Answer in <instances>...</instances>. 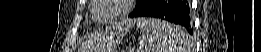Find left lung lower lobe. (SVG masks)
<instances>
[{
	"mask_svg": "<svg viewBox=\"0 0 261 52\" xmlns=\"http://www.w3.org/2000/svg\"><path fill=\"white\" fill-rule=\"evenodd\" d=\"M143 16L165 19L186 28L193 34L189 4L186 0H153L134 17ZM166 35L168 38L172 37L171 33Z\"/></svg>",
	"mask_w": 261,
	"mask_h": 52,
	"instance_id": "left-lung-lower-lobe-1",
	"label": "left lung lower lobe"
}]
</instances>
